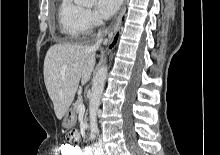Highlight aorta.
I'll return each instance as SVG.
<instances>
[{
	"label": "aorta",
	"mask_w": 220,
	"mask_h": 155,
	"mask_svg": "<svg viewBox=\"0 0 220 155\" xmlns=\"http://www.w3.org/2000/svg\"><path fill=\"white\" fill-rule=\"evenodd\" d=\"M84 4H93L95 0H81ZM107 66L103 65L93 79V85L89 103L90 130L92 134L99 132L97 125V112L100 106V99L104 90L107 77Z\"/></svg>",
	"instance_id": "1"
}]
</instances>
